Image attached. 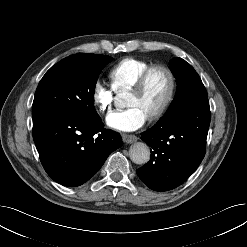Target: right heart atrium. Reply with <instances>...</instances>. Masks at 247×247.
<instances>
[{
    "label": "right heart atrium",
    "instance_id": "right-heart-atrium-1",
    "mask_svg": "<svg viewBox=\"0 0 247 247\" xmlns=\"http://www.w3.org/2000/svg\"><path fill=\"white\" fill-rule=\"evenodd\" d=\"M92 99L99 112L109 113L115 99V89L103 81L97 80L93 85Z\"/></svg>",
    "mask_w": 247,
    "mask_h": 247
}]
</instances>
